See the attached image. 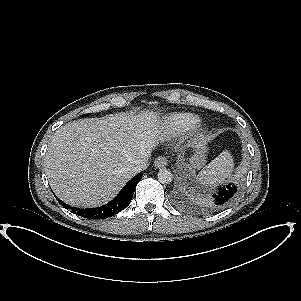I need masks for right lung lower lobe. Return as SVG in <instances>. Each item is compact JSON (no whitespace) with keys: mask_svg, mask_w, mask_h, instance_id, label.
I'll return each mask as SVG.
<instances>
[{"mask_svg":"<svg viewBox=\"0 0 301 301\" xmlns=\"http://www.w3.org/2000/svg\"><path fill=\"white\" fill-rule=\"evenodd\" d=\"M142 173L137 174L134 176L120 191V193L112 200L110 203L98 207V208H92V209H79L75 207H70L64 202H62L60 199L57 198L59 203L66 208L71 209V211L75 214H78L79 216H82L84 218H91V219H104L111 217L120 211L124 210L131 202V199L133 197L135 188L137 183L141 180Z\"/></svg>","mask_w":301,"mask_h":301,"instance_id":"1","label":"right lung lower lobe"}]
</instances>
